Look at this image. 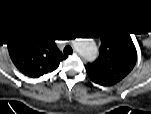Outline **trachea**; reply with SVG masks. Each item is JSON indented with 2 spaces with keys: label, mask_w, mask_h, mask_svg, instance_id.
<instances>
[{
  "label": "trachea",
  "mask_w": 151,
  "mask_h": 114,
  "mask_svg": "<svg viewBox=\"0 0 151 114\" xmlns=\"http://www.w3.org/2000/svg\"><path fill=\"white\" fill-rule=\"evenodd\" d=\"M71 51V48L70 47H65L64 48V53H70Z\"/></svg>",
  "instance_id": "3493384b"
}]
</instances>
